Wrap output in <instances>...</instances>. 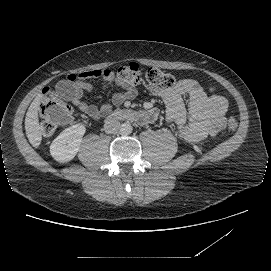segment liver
Wrapping results in <instances>:
<instances>
[{
    "label": "liver",
    "mask_w": 271,
    "mask_h": 271,
    "mask_svg": "<svg viewBox=\"0 0 271 271\" xmlns=\"http://www.w3.org/2000/svg\"><path fill=\"white\" fill-rule=\"evenodd\" d=\"M41 99L42 96L40 94L36 96L32 101L25 118L26 134L34 147H38L42 139V126L39 124L37 115Z\"/></svg>",
    "instance_id": "6515ba94"
}]
</instances>
